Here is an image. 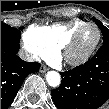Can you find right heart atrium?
Segmentation results:
<instances>
[{
	"instance_id": "right-heart-atrium-1",
	"label": "right heart atrium",
	"mask_w": 109,
	"mask_h": 109,
	"mask_svg": "<svg viewBox=\"0 0 109 109\" xmlns=\"http://www.w3.org/2000/svg\"><path fill=\"white\" fill-rule=\"evenodd\" d=\"M23 46L26 52L34 60L51 58L53 56V49L46 43L23 36Z\"/></svg>"
}]
</instances>
